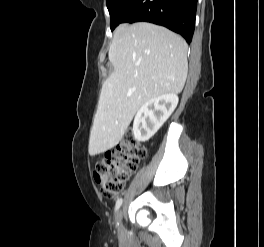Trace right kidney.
<instances>
[{"instance_id":"obj_1","label":"right kidney","mask_w":264,"mask_h":247,"mask_svg":"<svg viewBox=\"0 0 264 247\" xmlns=\"http://www.w3.org/2000/svg\"><path fill=\"white\" fill-rule=\"evenodd\" d=\"M178 101L176 94L168 93L142 105L133 122L134 138L139 142L148 141L170 117Z\"/></svg>"}]
</instances>
